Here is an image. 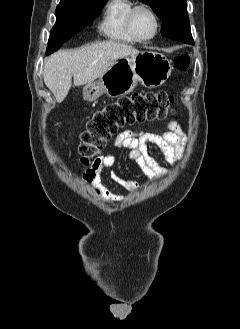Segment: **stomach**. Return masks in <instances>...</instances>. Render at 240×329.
<instances>
[{
    "label": "stomach",
    "mask_w": 240,
    "mask_h": 329,
    "mask_svg": "<svg viewBox=\"0 0 240 329\" xmlns=\"http://www.w3.org/2000/svg\"><path fill=\"white\" fill-rule=\"evenodd\" d=\"M171 62L155 51H142L117 60L97 81L83 88V97L95 101L103 94L120 97L131 93L138 82L146 88L163 85L171 75Z\"/></svg>",
    "instance_id": "obj_1"
}]
</instances>
